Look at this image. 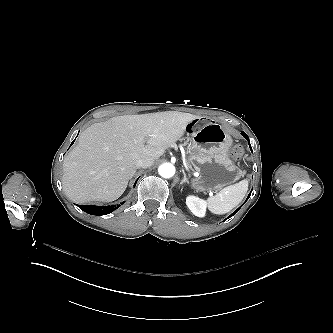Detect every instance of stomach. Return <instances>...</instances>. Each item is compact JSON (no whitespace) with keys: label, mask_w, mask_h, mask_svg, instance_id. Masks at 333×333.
<instances>
[{"label":"stomach","mask_w":333,"mask_h":333,"mask_svg":"<svg viewBox=\"0 0 333 333\" xmlns=\"http://www.w3.org/2000/svg\"><path fill=\"white\" fill-rule=\"evenodd\" d=\"M186 128L190 131L187 160L198 173L190 180L196 192L219 190L244 175L231 157L232 140L220 125L199 117L188 120Z\"/></svg>","instance_id":"obj_1"}]
</instances>
